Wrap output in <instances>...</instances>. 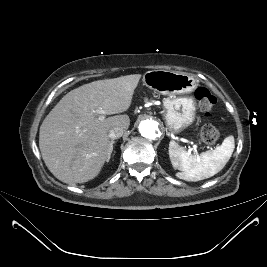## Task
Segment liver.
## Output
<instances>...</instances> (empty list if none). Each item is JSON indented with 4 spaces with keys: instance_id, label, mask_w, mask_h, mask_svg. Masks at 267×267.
<instances>
[{
    "instance_id": "6515ba94",
    "label": "liver",
    "mask_w": 267,
    "mask_h": 267,
    "mask_svg": "<svg viewBox=\"0 0 267 267\" xmlns=\"http://www.w3.org/2000/svg\"><path fill=\"white\" fill-rule=\"evenodd\" d=\"M140 74L94 81L68 92L40 126L39 148L50 172L67 184L95 178L111 152L109 130L130 125L126 114L104 120L96 117L128 110Z\"/></svg>"
}]
</instances>
